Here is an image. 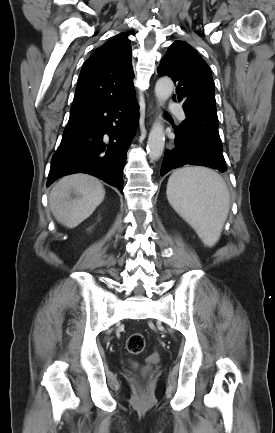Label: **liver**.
Returning a JSON list of instances; mask_svg holds the SVG:
<instances>
[{
  "instance_id": "1",
  "label": "liver",
  "mask_w": 275,
  "mask_h": 433,
  "mask_svg": "<svg viewBox=\"0 0 275 433\" xmlns=\"http://www.w3.org/2000/svg\"><path fill=\"white\" fill-rule=\"evenodd\" d=\"M105 189L90 175L73 174L61 178L52 188L49 204L55 219L75 228L87 219L104 200Z\"/></svg>"
}]
</instances>
